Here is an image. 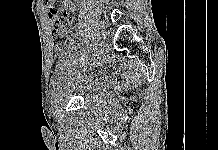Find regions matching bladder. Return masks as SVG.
<instances>
[{
	"label": "bladder",
	"mask_w": 218,
	"mask_h": 150,
	"mask_svg": "<svg viewBox=\"0 0 218 150\" xmlns=\"http://www.w3.org/2000/svg\"><path fill=\"white\" fill-rule=\"evenodd\" d=\"M58 87L66 93L85 94L84 86L81 85V80L73 73L72 69H64L57 75Z\"/></svg>",
	"instance_id": "31cf9c89"
}]
</instances>
